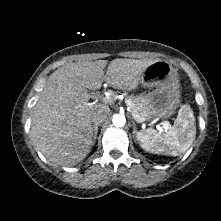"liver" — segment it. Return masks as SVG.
I'll return each instance as SVG.
<instances>
[{"instance_id": "obj_1", "label": "liver", "mask_w": 221, "mask_h": 221, "mask_svg": "<svg viewBox=\"0 0 221 221\" xmlns=\"http://www.w3.org/2000/svg\"><path fill=\"white\" fill-rule=\"evenodd\" d=\"M156 61V60H154ZM153 60L114 59L70 63L48 78L33 108L30 134L48 161L73 166L90 153L93 145L91 115L105 104L88 103V90L100 89L106 81L117 89H136ZM108 65L106 75L104 68Z\"/></svg>"}]
</instances>
